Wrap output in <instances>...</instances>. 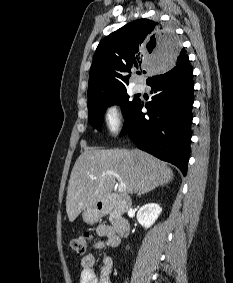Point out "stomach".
Returning <instances> with one entry per match:
<instances>
[{
    "mask_svg": "<svg viewBox=\"0 0 233 283\" xmlns=\"http://www.w3.org/2000/svg\"><path fill=\"white\" fill-rule=\"evenodd\" d=\"M101 215V211L96 206H91L83 211L82 217L88 224H94L99 220Z\"/></svg>",
    "mask_w": 233,
    "mask_h": 283,
    "instance_id": "stomach-1",
    "label": "stomach"
}]
</instances>
